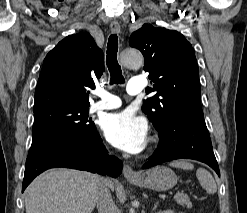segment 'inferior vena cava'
I'll return each mask as SVG.
<instances>
[{
  "label": "inferior vena cava",
  "instance_id": "obj_1",
  "mask_svg": "<svg viewBox=\"0 0 247 213\" xmlns=\"http://www.w3.org/2000/svg\"><path fill=\"white\" fill-rule=\"evenodd\" d=\"M111 181L108 178H101L97 194L98 213H117V207L109 191Z\"/></svg>",
  "mask_w": 247,
  "mask_h": 213
}]
</instances>
